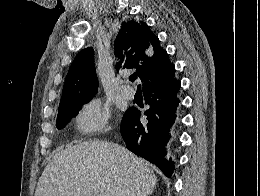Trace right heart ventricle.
Returning a JSON list of instances; mask_svg holds the SVG:
<instances>
[{
	"label": "right heart ventricle",
	"instance_id": "1",
	"mask_svg": "<svg viewBox=\"0 0 260 196\" xmlns=\"http://www.w3.org/2000/svg\"><path fill=\"white\" fill-rule=\"evenodd\" d=\"M64 192H85V190H64Z\"/></svg>",
	"mask_w": 260,
	"mask_h": 196
}]
</instances>
